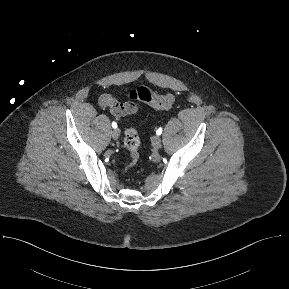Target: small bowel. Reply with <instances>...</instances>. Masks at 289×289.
Instances as JSON below:
<instances>
[{"instance_id": "c3829d8e", "label": "small bowel", "mask_w": 289, "mask_h": 289, "mask_svg": "<svg viewBox=\"0 0 289 289\" xmlns=\"http://www.w3.org/2000/svg\"><path fill=\"white\" fill-rule=\"evenodd\" d=\"M98 104L101 108L109 109L118 120L127 115H134L138 111L137 104L133 100L121 102L108 93H104L99 97Z\"/></svg>"}]
</instances>
